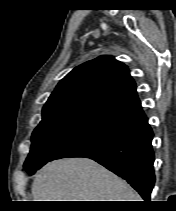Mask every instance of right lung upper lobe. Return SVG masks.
<instances>
[{"instance_id": "obj_1", "label": "right lung upper lobe", "mask_w": 176, "mask_h": 211, "mask_svg": "<svg viewBox=\"0 0 176 211\" xmlns=\"http://www.w3.org/2000/svg\"><path fill=\"white\" fill-rule=\"evenodd\" d=\"M140 107L136 84L128 67L111 56H100L66 75L42 113L100 122Z\"/></svg>"}]
</instances>
